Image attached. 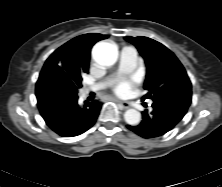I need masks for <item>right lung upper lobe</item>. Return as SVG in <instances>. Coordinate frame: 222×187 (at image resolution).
I'll return each mask as SVG.
<instances>
[{"label":"right lung upper lobe","mask_w":222,"mask_h":187,"mask_svg":"<svg viewBox=\"0 0 222 187\" xmlns=\"http://www.w3.org/2000/svg\"><path fill=\"white\" fill-rule=\"evenodd\" d=\"M108 35L84 34L73 38L55 50L44 64L43 70H57V67L70 66L87 73L92 46Z\"/></svg>","instance_id":"cb5924a9"}]
</instances>
